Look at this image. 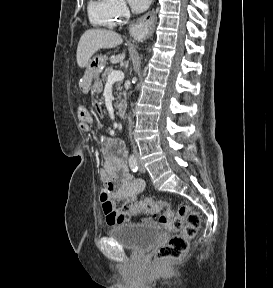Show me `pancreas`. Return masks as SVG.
Segmentation results:
<instances>
[{
	"label": "pancreas",
	"mask_w": 273,
	"mask_h": 288,
	"mask_svg": "<svg viewBox=\"0 0 273 288\" xmlns=\"http://www.w3.org/2000/svg\"><path fill=\"white\" fill-rule=\"evenodd\" d=\"M114 70H113V68L112 67H110V68H107L105 71H104V73L102 74V81L104 82V83H107V81H108V76H109V74L111 73V72H113ZM120 83H117V85H116V92L114 93L116 96H117V98H119L120 97ZM116 98V99H117Z\"/></svg>",
	"instance_id": "cf45deb5"
}]
</instances>
